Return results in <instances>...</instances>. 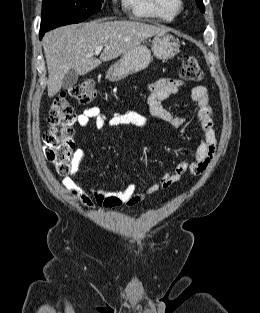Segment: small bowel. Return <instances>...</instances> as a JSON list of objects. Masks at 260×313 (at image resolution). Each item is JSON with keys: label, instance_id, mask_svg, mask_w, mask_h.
<instances>
[{"label": "small bowel", "instance_id": "c3829d8e", "mask_svg": "<svg viewBox=\"0 0 260 313\" xmlns=\"http://www.w3.org/2000/svg\"><path fill=\"white\" fill-rule=\"evenodd\" d=\"M182 82L174 78H161L149 85V97L147 99L150 114L157 120L167 124L171 128H179L185 121L184 116L170 113L163 106V101L178 94ZM191 98L197 104L198 120L201 124L203 137L199 141L192 161H183L176 165L172 172L164 173L159 180L139 192L134 184L128 185L123 190L108 191L99 188H91L92 196L84 187L75 180L73 173L62 179V184L67 188L72 197L88 209L98 207L114 208L122 205L135 206L146 198L153 196L161 190H166L177 183L185 174L192 176L202 175L210 166L216 149L217 136L214 127V114L209 106L208 91L205 86H195L191 90ZM91 120L95 121L97 128L106 125L124 126L130 125L140 129L149 127V120L141 114L127 110L111 114H104L98 107H88L77 116V124L81 128L87 127ZM83 156L77 153V160ZM74 164V168L76 167Z\"/></svg>", "mask_w": 260, "mask_h": 313}]
</instances>
